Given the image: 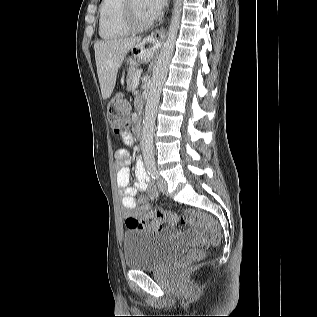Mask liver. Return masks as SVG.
Wrapping results in <instances>:
<instances>
[{
    "label": "liver",
    "mask_w": 317,
    "mask_h": 317,
    "mask_svg": "<svg viewBox=\"0 0 317 317\" xmlns=\"http://www.w3.org/2000/svg\"><path fill=\"white\" fill-rule=\"evenodd\" d=\"M141 37L97 41L94 44L97 74L103 99H108L115 87L119 68L126 54L140 46Z\"/></svg>",
    "instance_id": "1"
}]
</instances>
